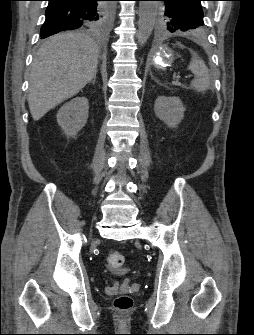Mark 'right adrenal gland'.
Here are the masks:
<instances>
[{
	"label": "right adrenal gland",
	"mask_w": 254,
	"mask_h": 335,
	"mask_svg": "<svg viewBox=\"0 0 254 335\" xmlns=\"http://www.w3.org/2000/svg\"><path fill=\"white\" fill-rule=\"evenodd\" d=\"M95 81H96V75L93 77V79H92L91 82H92L93 84H95Z\"/></svg>",
	"instance_id": "obj_1"
}]
</instances>
